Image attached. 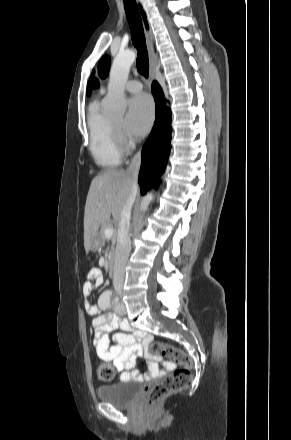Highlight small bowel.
I'll use <instances>...</instances> for the list:
<instances>
[{
	"mask_svg": "<svg viewBox=\"0 0 291 440\" xmlns=\"http://www.w3.org/2000/svg\"><path fill=\"white\" fill-rule=\"evenodd\" d=\"M92 280L101 283V273L95 270L92 273ZM94 289L91 281L83 286V305L85 310L94 315L92 328L94 331L93 345L100 360L110 363L114 370L120 373L123 379L146 382L165 376L173 371L176 364L169 360H160L147 354V347L152 339V334L143 331H134L133 334L116 333L113 336L114 345H110L108 331L120 323L125 329H128L127 321L120 320L117 316L104 313L101 310H107L109 307V298L105 294L99 299L98 306L94 305L90 296ZM146 354L149 361V373L144 374L134 370L136 361L139 357Z\"/></svg>",
	"mask_w": 291,
	"mask_h": 440,
	"instance_id": "c3829d8e",
	"label": "small bowel"
}]
</instances>
